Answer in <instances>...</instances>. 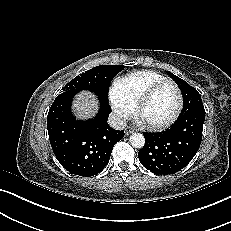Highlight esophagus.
<instances>
[{
  "mask_svg": "<svg viewBox=\"0 0 231 231\" xmlns=\"http://www.w3.org/2000/svg\"><path fill=\"white\" fill-rule=\"evenodd\" d=\"M134 131V129L132 127H126L125 128V134L129 135L130 133H132Z\"/></svg>",
  "mask_w": 231,
  "mask_h": 231,
  "instance_id": "esophagus-1",
  "label": "esophagus"
}]
</instances>
